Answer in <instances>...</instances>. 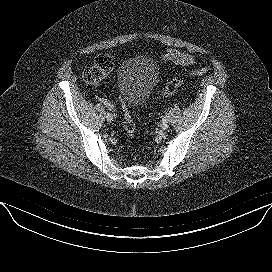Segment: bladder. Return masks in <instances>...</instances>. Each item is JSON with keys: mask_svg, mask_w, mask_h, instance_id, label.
<instances>
[{"mask_svg": "<svg viewBox=\"0 0 272 272\" xmlns=\"http://www.w3.org/2000/svg\"><path fill=\"white\" fill-rule=\"evenodd\" d=\"M159 71L146 56H136L123 62L117 71V87L122 99L131 106L144 103L157 86Z\"/></svg>", "mask_w": 272, "mask_h": 272, "instance_id": "31cf9c89", "label": "bladder"}]
</instances>
